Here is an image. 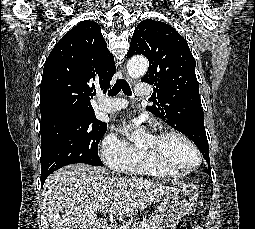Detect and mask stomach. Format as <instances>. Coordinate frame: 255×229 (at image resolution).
Returning a JSON list of instances; mask_svg holds the SVG:
<instances>
[{"mask_svg": "<svg viewBox=\"0 0 255 229\" xmlns=\"http://www.w3.org/2000/svg\"><path fill=\"white\" fill-rule=\"evenodd\" d=\"M199 191L192 183L183 184L176 188L158 206L154 221L161 229L169 227L185 217L197 204Z\"/></svg>", "mask_w": 255, "mask_h": 229, "instance_id": "stomach-1", "label": "stomach"}]
</instances>
